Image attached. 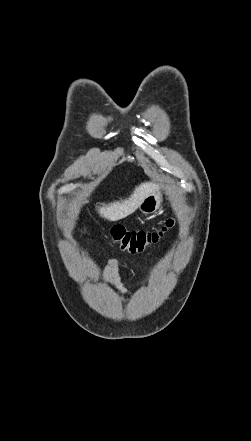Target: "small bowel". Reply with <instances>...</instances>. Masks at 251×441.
<instances>
[{"label": "small bowel", "instance_id": "c3829d8e", "mask_svg": "<svg viewBox=\"0 0 251 441\" xmlns=\"http://www.w3.org/2000/svg\"><path fill=\"white\" fill-rule=\"evenodd\" d=\"M120 262L118 259H109L106 263L104 276L108 285L121 295H128V290L118 280Z\"/></svg>", "mask_w": 251, "mask_h": 441}]
</instances>
